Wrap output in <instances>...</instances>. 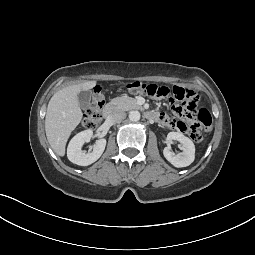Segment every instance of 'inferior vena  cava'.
Returning a JSON list of instances; mask_svg holds the SVG:
<instances>
[{
  "mask_svg": "<svg viewBox=\"0 0 255 255\" xmlns=\"http://www.w3.org/2000/svg\"><path fill=\"white\" fill-rule=\"evenodd\" d=\"M126 118V113L124 111L118 110L114 111L108 116V120L112 123H117Z\"/></svg>",
  "mask_w": 255,
  "mask_h": 255,
  "instance_id": "obj_1",
  "label": "inferior vena cava"
}]
</instances>
